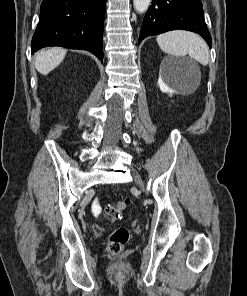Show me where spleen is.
<instances>
[{"label": "spleen", "instance_id": "obj_1", "mask_svg": "<svg viewBox=\"0 0 247 296\" xmlns=\"http://www.w3.org/2000/svg\"><path fill=\"white\" fill-rule=\"evenodd\" d=\"M156 40L165 53L178 57L188 54L202 65L209 63L208 46L195 33L183 30L169 31L158 35Z\"/></svg>", "mask_w": 247, "mask_h": 296}]
</instances>
